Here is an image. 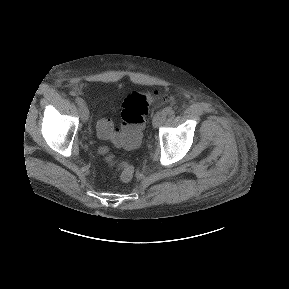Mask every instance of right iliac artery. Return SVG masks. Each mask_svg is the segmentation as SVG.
Masks as SVG:
<instances>
[{"instance_id": "1", "label": "right iliac artery", "mask_w": 289, "mask_h": 289, "mask_svg": "<svg viewBox=\"0 0 289 289\" xmlns=\"http://www.w3.org/2000/svg\"><path fill=\"white\" fill-rule=\"evenodd\" d=\"M75 101H76V103H77L78 105H83V104H84V100H83L82 98H80V97H77V98L75 99Z\"/></svg>"}]
</instances>
